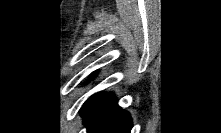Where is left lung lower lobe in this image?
Returning <instances> with one entry per match:
<instances>
[{"mask_svg": "<svg viewBox=\"0 0 221 133\" xmlns=\"http://www.w3.org/2000/svg\"><path fill=\"white\" fill-rule=\"evenodd\" d=\"M87 133H130L132 120L110 93L92 95L80 110Z\"/></svg>", "mask_w": 221, "mask_h": 133, "instance_id": "1", "label": "left lung lower lobe"}]
</instances>
